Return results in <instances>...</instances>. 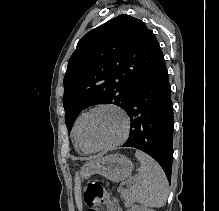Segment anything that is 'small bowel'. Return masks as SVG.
<instances>
[{"label":"small bowel","mask_w":219,"mask_h":211,"mask_svg":"<svg viewBox=\"0 0 219 211\" xmlns=\"http://www.w3.org/2000/svg\"><path fill=\"white\" fill-rule=\"evenodd\" d=\"M87 204L91 207L88 211H96L94 206L102 203L106 206L107 211H121L112 201L109 194L103 191L89 189L85 196Z\"/></svg>","instance_id":"small-bowel-1"}]
</instances>
